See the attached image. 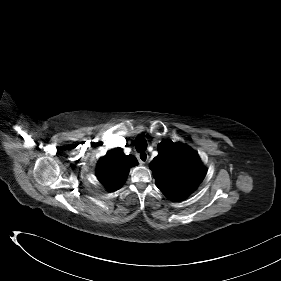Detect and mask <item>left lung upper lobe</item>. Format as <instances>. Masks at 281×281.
<instances>
[{"mask_svg": "<svg viewBox=\"0 0 281 281\" xmlns=\"http://www.w3.org/2000/svg\"><path fill=\"white\" fill-rule=\"evenodd\" d=\"M150 163L157 187L170 199L181 200L202 182L206 169L197 153L182 143L163 140Z\"/></svg>", "mask_w": 281, "mask_h": 281, "instance_id": "obj_1", "label": "left lung upper lobe"}]
</instances>
